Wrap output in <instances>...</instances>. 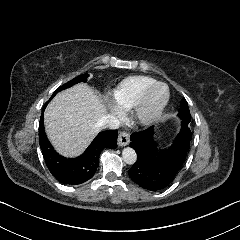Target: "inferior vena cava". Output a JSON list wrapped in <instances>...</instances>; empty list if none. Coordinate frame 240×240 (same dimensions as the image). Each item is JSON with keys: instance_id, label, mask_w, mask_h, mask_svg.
I'll return each mask as SVG.
<instances>
[{"instance_id": "1", "label": "inferior vena cava", "mask_w": 240, "mask_h": 240, "mask_svg": "<svg viewBox=\"0 0 240 240\" xmlns=\"http://www.w3.org/2000/svg\"><path fill=\"white\" fill-rule=\"evenodd\" d=\"M118 126V118L110 114L101 117L96 123V127L100 129H116Z\"/></svg>"}]
</instances>
